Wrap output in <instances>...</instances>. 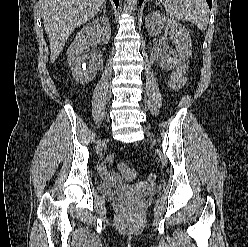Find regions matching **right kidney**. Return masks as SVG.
Returning <instances> with one entry per match:
<instances>
[{"mask_svg":"<svg viewBox=\"0 0 248 247\" xmlns=\"http://www.w3.org/2000/svg\"><path fill=\"white\" fill-rule=\"evenodd\" d=\"M111 28L108 18L94 19L82 28L67 50V60L72 69L73 77L81 84H87L96 76L98 64L90 46L95 42L107 43ZM90 59L88 66L85 61Z\"/></svg>","mask_w":248,"mask_h":247,"instance_id":"right-kidney-1","label":"right kidney"}]
</instances>
